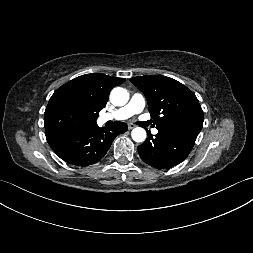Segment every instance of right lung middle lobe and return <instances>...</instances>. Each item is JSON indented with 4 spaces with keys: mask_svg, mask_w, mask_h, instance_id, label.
<instances>
[{
    "mask_svg": "<svg viewBox=\"0 0 253 253\" xmlns=\"http://www.w3.org/2000/svg\"><path fill=\"white\" fill-rule=\"evenodd\" d=\"M96 116L67 94H53L44 113L46 138L87 128Z\"/></svg>",
    "mask_w": 253,
    "mask_h": 253,
    "instance_id": "1",
    "label": "right lung middle lobe"
}]
</instances>
